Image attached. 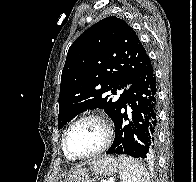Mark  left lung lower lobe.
I'll return each mask as SVG.
<instances>
[{
	"mask_svg": "<svg viewBox=\"0 0 196 182\" xmlns=\"http://www.w3.org/2000/svg\"><path fill=\"white\" fill-rule=\"evenodd\" d=\"M157 102L156 77L150 61L125 97L115 122V139L107 154H126L142 159L155 157ZM127 104L131 109L129 112Z\"/></svg>",
	"mask_w": 196,
	"mask_h": 182,
	"instance_id": "obj_1",
	"label": "left lung lower lobe"
}]
</instances>
